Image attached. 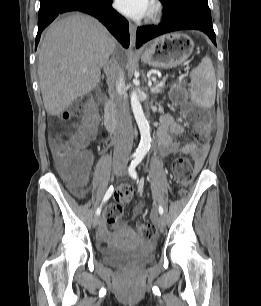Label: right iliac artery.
Masks as SVG:
<instances>
[{
    "label": "right iliac artery",
    "mask_w": 261,
    "mask_h": 306,
    "mask_svg": "<svg viewBox=\"0 0 261 306\" xmlns=\"http://www.w3.org/2000/svg\"><path fill=\"white\" fill-rule=\"evenodd\" d=\"M113 190H114L113 186H110V187L108 188V190L106 191V193H105V195H104V197H103V200H102L101 205H100V206L97 208V210H96V215H100V213H101V208H102V204L105 203V202L111 197V195H112V193H113Z\"/></svg>",
    "instance_id": "obj_1"
}]
</instances>
